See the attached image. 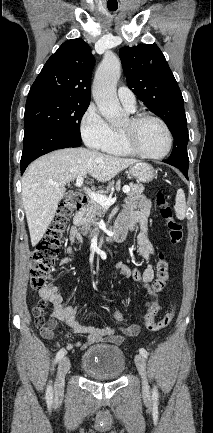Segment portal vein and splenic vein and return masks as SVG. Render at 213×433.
<instances>
[{
	"label": "portal vein and splenic vein",
	"mask_w": 213,
	"mask_h": 433,
	"mask_svg": "<svg viewBox=\"0 0 213 433\" xmlns=\"http://www.w3.org/2000/svg\"><path fill=\"white\" fill-rule=\"evenodd\" d=\"M83 181H84L83 177H78L76 179V186L77 187H82L83 186ZM52 184L53 185H57L56 183H52ZM84 190L88 194V196L90 197L91 200L97 202L98 204H100L104 208L110 207L116 201V197L112 198V197H107V196L99 194V193H95L94 191H92L91 189H89L87 187H84ZM122 191L124 193H128L130 191V187L129 186H124L122 188Z\"/></svg>",
	"instance_id": "portal-vein-and-splenic-vein-1"
}]
</instances>
